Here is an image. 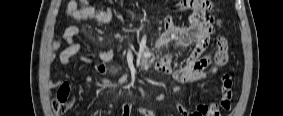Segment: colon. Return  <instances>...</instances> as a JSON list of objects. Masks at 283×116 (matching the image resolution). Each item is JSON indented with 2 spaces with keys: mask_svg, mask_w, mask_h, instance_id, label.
Returning <instances> with one entry per match:
<instances>
[{
  "mask_svg": "<svg viewBox=\"0 0 283 116\" xmlns=\"http://www.w3.org/2000/svg\"><path fill=\"white\" fill-rule=\"evenodd\" d=\"M86 2V1H81ZM229 61L228 55V40L223 37L219 36L216 40V51L213 58V69L218 67L225 66ZM224 78L229 85L230 76L224 75ZM72 104V96L70 87L66 84L61 85L57 92L56 96L52 101V110L55 114L61 115L64 114ZM231 107V101L227 100L224 103L213 104L211 105V111L217 116H220L221 110H229Z\"/></svg>",
  "mask_w": 283,
  "mask_h": 116,
  "instance_id": "colon-1",
  "label": "colon"
}]
</instances>
